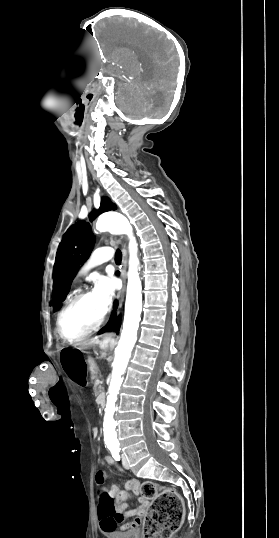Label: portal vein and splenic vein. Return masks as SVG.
<instances>
[{
  "label": "portal vein and splenic vein",
  "mask_w": 279,
  "mask_h": 538,
  "mask_svg": "<svg viewBox=\"0 0 279 538\" xmlns=\"http://www.w3.org/2000/svg\"><path fill=\"white\" fill-rule=\"evenodd\" d=\"M100 383H103V380H100Z\"/></svg>",
  "instance_id": "portal-vein-and-splenic-vein-1"
}]
</instances>
